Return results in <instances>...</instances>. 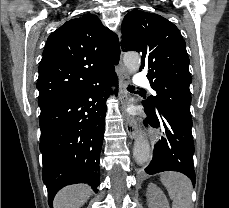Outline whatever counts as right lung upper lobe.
I'll use <instances>...</instances> for the list:
<instances>
[{
  "label": "right lung upper lobe",
  "instance_id": "obj_1",
  "mask_svg": "<svg viewBox=\"0 0 229 208\" xmlns=\"http://www.w3.org/2000/svg\"><path fill=\"white\" fill-rule=\"evenodd\" d=\"M118 37L95 15L65 22L46 42L39 64L38 104L61 102L115 72Z\"/></svg>",
  "mask_w": 229,
  "mask_h": 208
}]
</instances>
